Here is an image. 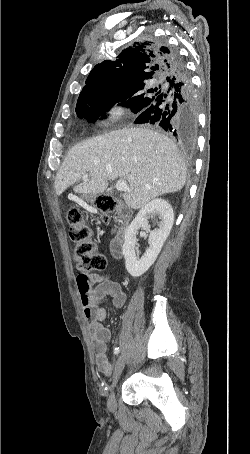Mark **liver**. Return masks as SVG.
Here are the masks:
<instances>
[{"mask_svg":"<svg viewBox=\"0 0 250 454\" xmlns=\"http://www.w3.org/2000/svg\"><path fill=\"white\" fill-rule=\"evenodd\" d=\"M186 165L176 145L147 128L111 131L83 141L68 152L55 179L61 195L69 186L78 194H100L108 181L126 180L121 196L127 206L143 208L155 197L180 191L186 183ZM89 179L80 182L83 174Z\"/></svg>","mask_w":250,"mask_h":454,"instance_id":"6515ba94","label":"liver"}]
</instances>
